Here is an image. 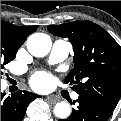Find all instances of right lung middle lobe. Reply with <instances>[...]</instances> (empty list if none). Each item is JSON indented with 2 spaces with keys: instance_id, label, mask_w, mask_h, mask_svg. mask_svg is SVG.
<instances>
[{
  "instance_id": "obj_1",
  "label": "right lung middle lobe",
  "mask_w": 121,
  "mask_h": 121,
  "mask_svg": "<svg viewBox=\"0 0 121 121\" xmlns=\"http://www.w3.org/2000/svg\"><path fill=\"white\" fill-rule=\"evenodd\" d=\"M22 42L14 39L5 31H1V75L4 65L15 58L18 48Z\"/></svg>"
}]
</instances>
